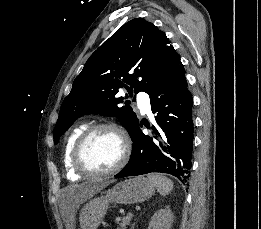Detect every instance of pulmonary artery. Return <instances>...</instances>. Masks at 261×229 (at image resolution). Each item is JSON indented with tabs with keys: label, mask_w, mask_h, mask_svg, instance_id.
<instances>
[{
	"label": "pulmonary artery",
	"mask_w": 261,
	"mask_h": 229,
	"mask_svg": "<svg viewBox=\"0 0 261 229\" xmlns=\"http://www.w3.org/2000/svg\"><path fill=\"white\" fill-rule=\"evenodd\" d=\"M149 95V91H139L137 94V99H139L137 108L141 115H150L151 98Z\"/></svg>",
	"instance_id": "e3ab8cb5"
}]
</instances>
